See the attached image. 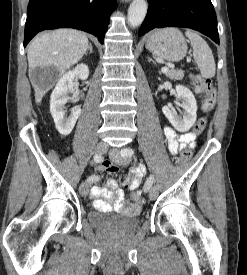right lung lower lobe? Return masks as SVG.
Masks as SVG:
<instances>
[{
  "instance_id": "obj_1",
  "label": "right lung lower lobe",
  "mask_w": 247,
  "mask_h": 275,
  "mask_svg": "<svg viewBox=\"0 0 247 275\" xmlns=\"http://www.w3.org/2000/svg\"><path fill=\"white\" fill-rule=\"evenodd\" d=\"M116 0H30L24 47L40 31L76 28L95 35L101 44Z\"/></svg>"
}]
</instances>
